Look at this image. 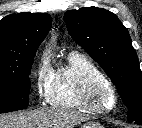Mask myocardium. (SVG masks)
I'll return each mask as SVG.
<instances>
[{
  "label": "myocardium",
  "mask_w": 142,
  "mask_h": 128,
  "mask_svg": "<svg viewBox=\"0 0 142 128\" xmlns=\"http://www.w3.org/2000/svg\"><path fill=\"white\" fill-rule=\"evenodd\" d=\"M108 96L109 104H105L104 97ZM81 99L86 108L99 114L112 112L118 103L117 92L108 78L93 77L84 85Z\"/></svg>",
  "instance_id": "obj_1"
}]
</instances>
